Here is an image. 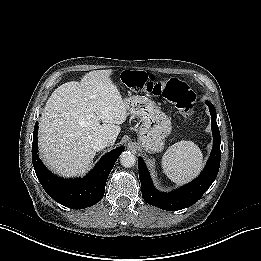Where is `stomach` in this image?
Here are the masks:
<instances>
[{
	"label": "stomach",
	"instance_id": "1",
	"mask_svg": "<svg viewBox=\"0 0 261 261\" xmlns=\"http://www.w3.org/2000/svg\"><path fill=\"white\" fill-rule=\"evenodd\" d=\"M128 112L140 118L138 141L147 153L160 152L165 138L171 133L170 118L150 99L131 96L125 100Z\"/></svg>",
	"mask_w": 261,
	"mask_h": 261
}]
</instances>
